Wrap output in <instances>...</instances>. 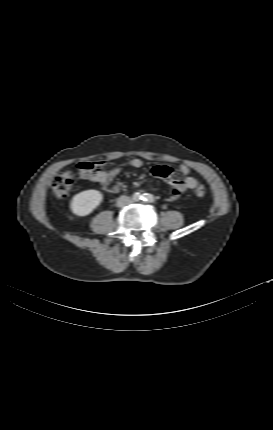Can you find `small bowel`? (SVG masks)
<instances>
[{
	"label": "small bowel",
	"mask_w": 273,
	"mask_h": 430,
	"mask_svg": "<svg viewBox=\"0 0 273 430\" xmlns=\"http://www.w3.org/2000/svg\"><path fill=\"white\" fill-rule=\"evenodd\" d=\"M101 164L102 162H80L77 164V173L83 179L100 184L103 190L108 193L114 194L124 190L126 185L121 180L109 186L111 181L120 173V168L113 167L102 170ZM127 165L133 168H141L144 162L139 158H133L127 162ZM179 170L184 175L183 179L172 178L173 170L168 166H156L151 170L154 176L165 179L170 185L171 192L168 200L171 202L177 200L186 190L195 189L199 184L195 177L189 175L190 169L188 166L181 165Z\"/></svg>",
	"instance_id": "small-bowel-1"
}]
</instances>
